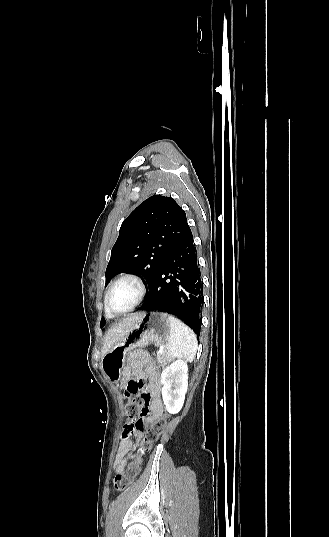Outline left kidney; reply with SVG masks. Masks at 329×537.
I'll use <instances>...</instances> for the list:
<instances>
[{"label": "left kidney", "instance_id": "left-kidney-1", "mask_svg": "<svg viewBox=\"0 0 329 537\" xmlns=\"http://www.w3.org/2000/svg\"><path fill=\"white\" fill-rule=\"evenodd\" d=\"M187 372V362L178 359L167 366L161 374L163 403L171 414H177L183 406L188 387Z\"/></svg>", "mask_w": 329, "mask_h": 537}]
</instances>
